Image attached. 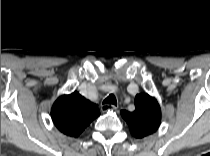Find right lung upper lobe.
<instances>
[{
  "label": "right lung upper lobe",
  "instance_id": "obj_1",
  "mask_svg": "<svg viewBox=\"0 0 210 156\" xmlns=\"http://www.w3.org/2000/svg\"><path fill=\"white\" fill-rule=\"evenodd\" d=\"M99 115L98 105L77 91L60 96L51 109L54 125L63 134L71 137H78Z\"/></svg>",
  "mask_w": 210,
  "mask_h": 156
}]
</instances>
